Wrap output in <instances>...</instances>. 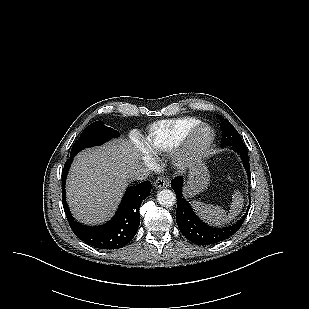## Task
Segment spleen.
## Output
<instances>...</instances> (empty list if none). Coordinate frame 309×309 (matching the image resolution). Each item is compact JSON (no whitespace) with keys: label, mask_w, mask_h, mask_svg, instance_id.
Here are the masks:
<instances>
[{"label":"spleen","mask_w":309,"mask_h":309,"mask_svg":"<svg viewBox=\"0 0 309 309\" xmlns=\"http://www.w3.org/2000/svg\"><path fill=\"white\" fill-rule=\"evenodd\" d=\"M232 198L233 200L228 214L220 206L205 204L199 201H193L192 206L206 222L215 226H222L237 216L243 207L244 199L240 192L236 191Z\"/></svg>","instance_id":"1"}]
</instances>
